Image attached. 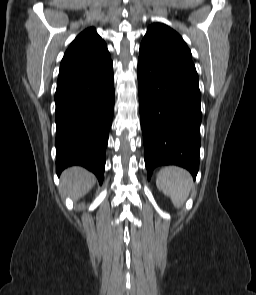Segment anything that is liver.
<instances>
[{
  "mask_svg": "<svg viewBox=\"0 0 256 295\" xmlns=\"http://www.w3.org/2000/svg\"><path fill=\"white\" fill-rule=\"evenodd\" d=\"M94 183V175L79 166L68 168L61 175V191L74 199L84 196Z\"/></svg>",
  "mask_w": 256,
  "mask_h": 295,
  "instance_id": "obj_1",
  "label": "liver"
}]
</instances>
